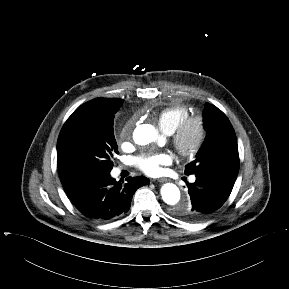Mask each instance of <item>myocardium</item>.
<instances>
[{"label":"myocardium","mask_w":289,"mask_h":289,"mask_svg":"<svg viewBox=\"0 0 289 289\" xmlns=\"http://www.w3.org/2000/svg\"><path fill=\"white\" fill-rule=\"evenodd\" d=\"M194 128L195 139L187 142L188 131ZM207 135V128L201 116H189L183 120L172 133V143L176 151L183 157H192L202 148Z\"/></svg>","instance_id":"f54148a6"}]
</instances>
